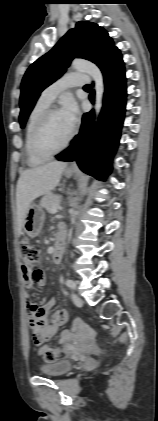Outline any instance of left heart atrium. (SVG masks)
Instances as JSON below:
<instances>
[{"instance_id": "left-heart-atrium-1", "label": "left heart atrium", "mask_w": 158, "mask_h": 421, "mask_svg": "<svg viewBox=\"0 0 158 421\" xmlns=\"http://www.w3.org/2000/svg\"><path fill=\"white\" fill-rule=\"evenodd\" d=\"M60 112L67 124L73 129L78 120V107L76 102L71 98L67 99Z\"/></svg>"}]
</instances>
